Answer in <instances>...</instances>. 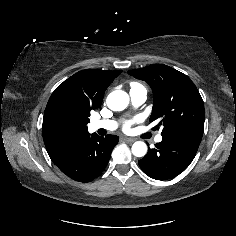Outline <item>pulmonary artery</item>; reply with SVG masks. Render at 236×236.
<instances>
[{"mask_svg":"<svg viewBox=\"0 0 236 236\" xmlns=\"http://www.w3.org/2000/svg\"><path fill=\"white\" fill-rule=\"evenodd\" d=\"M130 97L134 105L136 106L142 105L147 99V91L143 87L131 88ZM91 127L93 130H98V129L115 130L117 124L113 120H94L91 123ZM162 139H163L162 135L158 134L155 137V142H161Z\"/></svg>","mask_w":236,"mask_h":236,"instance_id":"pulmonary-artery-1","label":"pulmonary artery"}]
</instances>
